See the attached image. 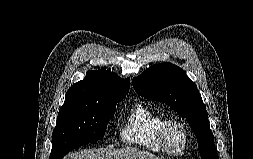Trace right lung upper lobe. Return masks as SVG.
<instances>
[{"instance_id":"1","label":"right lung upper lobe","mask_w":253,"mask_h":159,"mask_svg":"<svg viewBox=\"0 0 253 159\" xmlns=\"http://www.w3.org/2000/svg\"><path fill=\"white\" fill-rule=\"evenodd\" d=\"M130 79H121L106 69L88 71L84 80L73 84L65 101L76 99H123L129 92Z\"/></svg>"}]
</instances>
